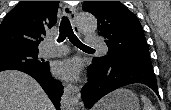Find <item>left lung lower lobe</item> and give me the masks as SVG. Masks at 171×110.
<instances>
[{"label":"left lung lower lobe","mask_w":171,"mask_h":110,"mask_svg":"<svg viewBox=\"0 0 171 110\" xmlns=\"http://www.w3.org/2000/svg\"><path fill=\"white\" fill-rule=\"evenodd\" d=\"M133 83L145 84L159 96L152 65L125 61H111L108 64L93 62L88 67V83L82 89L84 105L91 108L106 94Z\"/></svg>","instance_id":"left-lung-lower-lobe-1"}]
</instances>
